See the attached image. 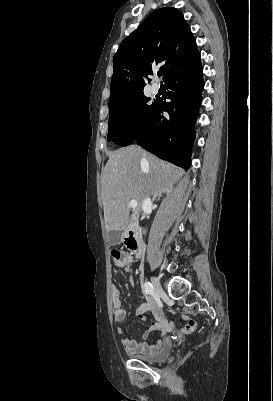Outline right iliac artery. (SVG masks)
Returning a JSON list of instances; mask_svg holds the SVG:
<instances>
[{"label": "right iliac artery", "mask_w": 273, "mask_h": 401, "mask_svg": "<svg viewBox=\"0 0 273 401\" xmlns=\"http://www.w3.org/2000/svg\"><path fill=\"white\" fill-rule=\"evenodd\" d=\"M143 289L146 292V294H152L153 293V286L150 282H145L143 284Z\"/></svg>", "instance_id": "right-iliac-artery-1"}]
</instances>
